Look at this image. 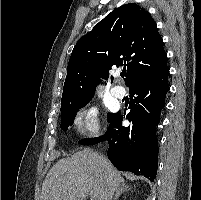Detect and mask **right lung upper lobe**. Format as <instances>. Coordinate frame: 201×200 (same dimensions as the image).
I'll use <instances>...</instances> for the list:
<instances>
[{
  "label": "right lung upper lobe",
  "instance_id": "1",
  "mask_svg": "<svg viewBox=\"0 0 201 200\" xmlns=\"http://www.w3.org/2000/svg\"><path fill=\"white\" fill-rule=\"evenodd\" d=\"M166 61L163 40L150 13L135 3L122 5L75 45L61 101L94 94L101 79H108L112 66H124L130 88L164 70Z\"/></svg>",
  "mask_w": 201,
  "mask_h": 200
}]
</instances>
